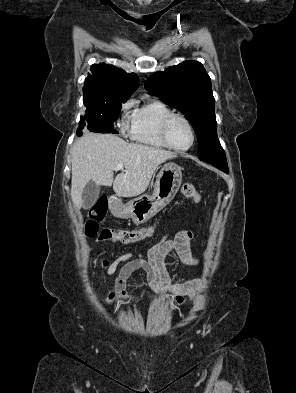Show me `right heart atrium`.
I'll list each match as a JSON object with an SVG mask.
<instances>
[{
	"label": "right heart atrium",
	"mask_w": 296,
	"mask_h": 393,
	"mask_svg": "<svg viewBox=\"0 0 296 393\" xmlns=\"http://www.w3.org/2000/svg\"><path fill=\"white\" fill-rule=\"evenodd\" d=\"M130 107H131V103H130V102L124 103V104L122 105V107H121V114H122L123 116H125V115L127 114V112H128V110H129Z\"/></svg>",
	"instance_id": "right-heart-atrium-1"
}]
</instances>
